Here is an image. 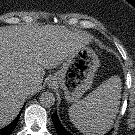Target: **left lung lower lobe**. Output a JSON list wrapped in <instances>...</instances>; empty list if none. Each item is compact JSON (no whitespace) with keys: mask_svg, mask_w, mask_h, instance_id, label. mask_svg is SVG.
<instances>
[{"mask_svg":"<svg viewBox=\"0 0 135 135\" xmlns=\"http://www.w3.org/2000/svg\"><path fill=\"white\" fill-rule=\"evenodd\" d=\"M52 120H53V123H54V126L56 128V131H57V135H72L71 133H69L60 123L59 119H58V116H57V113H54L52 115ZM108 135V134H106Z\"/></svg>","mask_w":135,"mask_h":135,"instance_id":"0a47b994","label":"left lung lower lobe"}]
</instances>
